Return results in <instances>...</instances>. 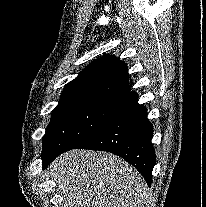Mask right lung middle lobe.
<instances>
[{"mask_svg": "<svg viewBox=\"0 0 206 207\" xmlns=\"http://www.w3.org/2000/svg\"><path fill=\"white\" fill-rule=\"evenodd\" d=\"M130 98L105 97L61 101L43 137V153L74 147L121 115Z\"/></svg>", "mask_w": 206, "mask_h": 207, "instance_id": "1", "label": "right lung middle lobe"}]
</instances>
